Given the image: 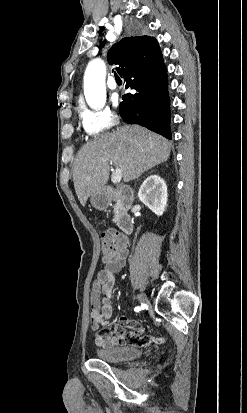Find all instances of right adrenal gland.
I'll return each mask as SVG.
<instances>
[{"label": "right adrenal gland", "mask_w": 247, "mask_h": 413, "mask_svg": "<svg viewBox=\"0 0 247 413\" xmlns=\"http://www.w3.org/2000/svg\"><path fill=\"white\" fill-rule=\"evenodd\" d=\"M150 168H153V166H150ZM138 180H139V178H138Z\"/></svg>", "instance_id": "obj_1"}]
</instances>
